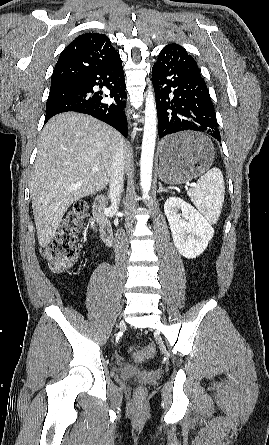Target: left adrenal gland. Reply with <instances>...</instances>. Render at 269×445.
<instances>
[{
	"label": "left adrenal gland",
	"mask_w": 269,
	"mask_h": 445,
	"mask_svg": "<svg viewBox=\"0 0 269 445\" xmlns=\"http://www.w3.org/2000/svg\"><path fill=\"white\" fill-rule=\"evenodd\" d=\"M161 192L171 193V191H169V190H167V189H164V188L162 187L161 182H159L158 193H161Z\"/></svg>",
	"instance_id": "a2214340"
}]
</instances>
